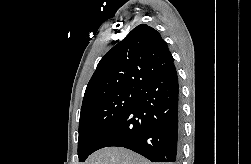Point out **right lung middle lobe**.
I'll return each instance as SVG.
<instances>
[{
	"label": "right lung middle lobe",
	"mask_w": 251,
	"mask_h": 164,
	"mask_svg": "<svg viewBox=\"0 0 251 164\" xmlns=\"http://www.w3.org/2000/svg\"><path fill=\"white\" fill-rule=\"evenodd\" d=\"M138 89L127 88L98 96L82 105L79 120L78 156L84 162L99 140L133 105Z\"/></svg>",
	"instance_id": "1"
}]
</instances>
